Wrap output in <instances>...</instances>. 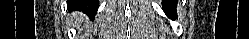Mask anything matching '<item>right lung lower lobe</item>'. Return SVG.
Instances as JSON below:
<instances>
[{
  "mask_svg": "<svg viewBox=\"0 0 249 39\" xmlns=\"http://www.w3.org/2000/svg\"><path fill=\"white\" fill-rule=\"evenodd\" d=\"M72 8L78 9L89 16H95L99 7L98 0H78L71 3Z\"/></svg>",
  "mask_w": 249,
  "mask_h": 39,
  "instance_id": "1",
  "label": "right lung lower lobe"
}]
</instances>
